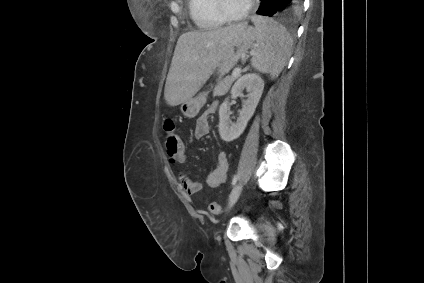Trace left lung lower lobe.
Masks as SVG:
<instances>
[{
    "mask_svg": "<svg viewBox=\"0 0 424 283\" xmlns=\"http://www.w3.org/2000/svg\"><path fill=\"white\" fill-rule=\"evenodd\" d=\"M261 4L257 14L263 16L292 15L301 10L304 0H260Z\"/></svg>",
    "mask_w": 424,
    "mask_h": 283,
    "instance_id": "1",
    "label": "left lung lower lobe"
}]
</instances>
